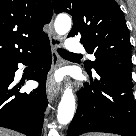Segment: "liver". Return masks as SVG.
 <instances>
[{
  "label": "liver",
  "instance_id": "1",
  "mask_svg": "<svg viewBox=\"0 0 136 136\" xmlns=\"http://www.w3.org/2000/svg\"><path fill=\"white\" fill-rule=\"evenodd\" d=\"M0 136H20V135L7 129L0 128Z\"/></svg>",
  "mask_w": 136,
  "mask_h": 136
}]
</instances>
